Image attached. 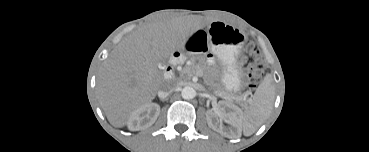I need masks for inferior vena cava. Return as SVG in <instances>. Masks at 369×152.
<instances>
[{
    "label": "inferior vena cava",
    "instance_id": "1",
    "mask_svg": "<svg viewBox=\"0 0 369 152\" xmlns=\"http://www.w3.org/2000/svg\"><path fill=\"white\" fill-rule=\"evenodd\" d=\"M177 87V84L171 80L164 81L159 90V97L165 98L172 93Z\"/></svg>",
    "mask_w": 369,
    "mask_h": 152
}]
</instances>
